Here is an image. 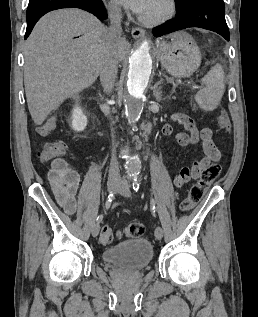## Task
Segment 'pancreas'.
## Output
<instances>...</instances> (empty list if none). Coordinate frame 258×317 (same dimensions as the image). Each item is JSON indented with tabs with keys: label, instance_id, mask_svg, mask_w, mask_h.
I'll list each match as a JSON object with an SVG mask.
<instances>
[{
	"label": "pancreas",
	"instance_id": "obj_1",
	"mask_svg": "<svg viewBox=\"0 0 258 317\" xmlns=\"http://www.w3.org/2000/svg\"><path fill=\"white\" fill-rule=\"evenodd\" d=\"M166 78L168 82H173V84H175L173 76H166Z\"/></svg>",
	"mask_w": 258,
	"mask_h": 317
}]
</instances>
